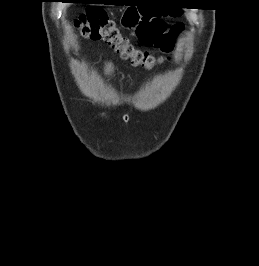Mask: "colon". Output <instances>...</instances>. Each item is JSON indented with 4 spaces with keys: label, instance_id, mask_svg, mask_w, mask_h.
<instances>
[{
    "label": "colon",
    "instance_id": "5ec220e1",
    "mask_svg": "<svg viewBox=\"0 0 259 266\" xmlns=\"http://www.w3.org/2000/svg\"><path fill=\"white\" fill-rule=\"evenodd\" d=\"M75 26L82 37L106 42L123 59L131 61L135 66L152 69L162 61L161 58L132 45L102 9L87 11L76 21ZM183 30L182 25H175L167 29L157 15H151L145 17L139 24L137 33L145 44L170 52L175 48L177 38Z\"/></svg>",
    "mask_w": 259,
    "mask_h": 266
}]
</instances>
